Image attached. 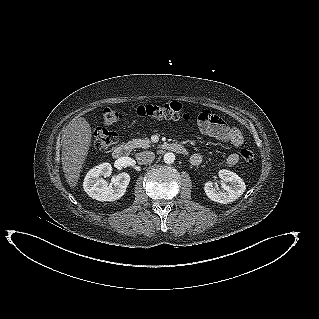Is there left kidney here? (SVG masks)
I'll return each instance as SVG.
<instances>
[{"label":"left kidney","mask_w":319,"mask_h":319,"mask_svg":"<svg viewBox=\"0 0 319 319\" xmlns=\"http://www.w3.org/2000/svg\"><path fill=\"white\" fill-rule=\"evenodd\" d=\"M218 176L223 181L222 190L215 187L211 181L205 183L204 190L210 200L227 204L235 201L245 192L246 185L236 173L222 169L218 172Z\"/></svg>","instance_id":"1"}]
</instances>
